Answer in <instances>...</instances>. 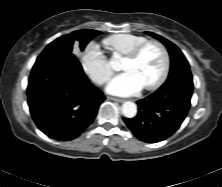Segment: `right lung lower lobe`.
<instances>
[{
  "mask_svg": "<svg viewBox=\"0 0 222 187\" xmlns=\"http://www.w3.org/2000/svg\"><path fill=\"white\" fill-rule=\"evenodd\" d=\"M27 95L35 124L58 141L78 137L105 100L72 53L46 48L32 68Z\"/></svg>",
  "mask_w": 222,
  "mask_h": 187,
  "instance_id": "obj_1",
  "label": "right lung lower lobe"
}]
</instances>
